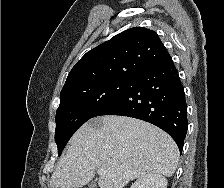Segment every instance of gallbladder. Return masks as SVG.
<instances>
[{
    "label": "gallbladder",
    "mask_w": 224,
    "mask_h": 188,
    "mask_svg": "<svg viewBox=\"0 0 224 188\" xmlns=\"http://www.w3.org/2000/svg\"><path fill=\"white\" fill-rule=\"evenodd\" d=\"M89 188H95L96 187V182H90V184H88Z\"/></svg>",
    "instance_id": "obj_1"
}]
</instances>
